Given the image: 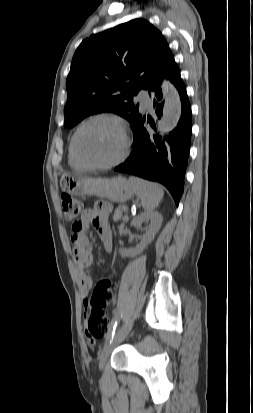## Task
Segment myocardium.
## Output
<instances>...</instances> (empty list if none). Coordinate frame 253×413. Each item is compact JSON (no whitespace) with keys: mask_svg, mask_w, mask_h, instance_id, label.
Returning a JSON list of instances; mask_svg holds the SVG:
<instances>
[{"mask_svg":"<svg viewBox=\"0 0 253 413\" xmlns=\"http://www.w3.org/2000/svg\"><path fill=\"white\" fill-rule=\"evenodd\" d=\"M96 121H108L114 123L120 130L123 138V149L120 155L112 161L106 163H92L87 161L80 153L79 146H78V139L81 131L89 124L96 122ZM72 145H73V152L76 159L86 168L89 169H109L115 167L122 163L126 157L128 156L129 149H130V139L128 135L127 128L123 121L118 118L117 116L110 115V114H97L94 116L89 117L84 122H82L76 131L74 132L72 138Z\"/></svg>","mask_w":253,"mask_h":413,"instance_id":"f54148a6","label":"myocardium"}]
</instances>
